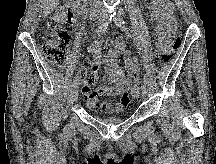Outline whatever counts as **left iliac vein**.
Wrapping results in <instances>:
<instances>
[{"instance_id":"1","label":"left iliac vein","mask_w":216,"mask_h":164,"mask_svg":"<svg viewBox=\"0 0 216 164\" xmlns=\"http://www.w3.org/2000/svg\"><path fill=\"white\" fill-rule=\"evenodd\" d=\"M148 91H149L148 82H144V85H143V97H146Z\"/></svg>"}]
</instances>
